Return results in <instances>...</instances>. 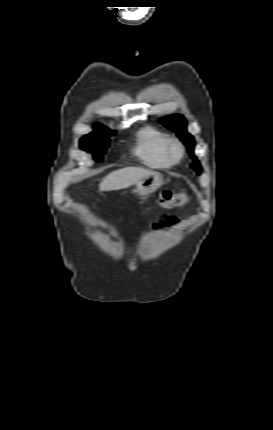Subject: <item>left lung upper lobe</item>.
<instances>
[{
	"mask_svg": "<svg viewBox=\"0 0 273 430\" xmlns=\"http://www.w3.org/2000/svg\"><path fill=\"white\" fill-rule=\"evenodd\" d=\"M161 122L170 130L177 133L179 138L185 143L189 150L190 156L193 158V163L191 167L197 172V174H201L202 168L200 162L195 157L193 153L194 149V139L193 137L186 131V120L182 115H171L161 119Z\"/></svg>",
	"mask_w": 273,
	"mask_h": 430,
	"instance_id": "obj_1",
	"label": "left lung upper lobe"
}]
</instances>
